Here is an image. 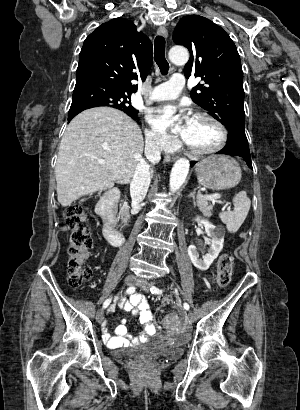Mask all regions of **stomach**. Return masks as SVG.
Wrapping results in <instances>:
<instances>
[{"label":"stomach","instance_id":"0dacf381","mask_svg":"<svg viewBox=\"0 0 300 410\" xmlns=\"http://www.w3.org/2000/svg\"><path fill=\"white\" fill-rule=\"evenodd\" d=\"M198 183L212 190H223L237 185L241 180V168L228 156H211L196 166Z\"/></svg>","mask_w":300,"mask_h":410}]
</instances>
